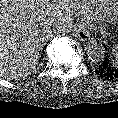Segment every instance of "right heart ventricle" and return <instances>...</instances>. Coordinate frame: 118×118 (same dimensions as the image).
<instances>
[{"label":"right heart ventricle","instance_id":"right-heart-ventricle-1","mask_svg":"<svg viewBox=\"0 0 118 118\" xmlns=\"http://www.w3.org/2000/svg\"><path fill=\"white\" fill-rule=\"evenodd\" d=\"M92 7L100 14L117 15L118 0H90Z\"/></svg>","mask_w":118,"mask_h":118}]
</instances>
